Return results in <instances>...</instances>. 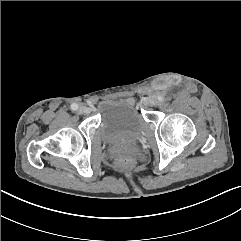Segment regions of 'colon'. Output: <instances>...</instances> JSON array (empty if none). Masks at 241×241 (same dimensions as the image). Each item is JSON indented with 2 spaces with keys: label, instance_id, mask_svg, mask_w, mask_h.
I'll return each mask as SVG.
<instances>
[{
  "label": "colon",
  "instance_id": "1",
  "mask_svg": "<svg viewBox=\"0 0 241 241\" xmlns=\"http://www.w3.org/2000/svg\"><path fill=\"white\" fill-rule=\"evenodd\" d=\"M118 164L120 167H123V168H129L133 165V160L131 158H120L118 160Z\"/></svg>",
  "mask_w": 241,
  "mask_h": 241
}]
</instances>
